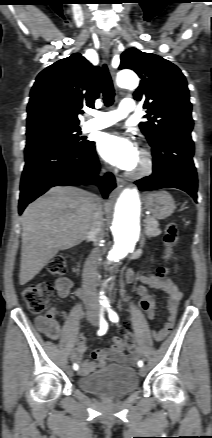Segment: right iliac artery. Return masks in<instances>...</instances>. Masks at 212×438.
<instances>
[{"label": "right iliac artery", "instance_id": "1", "mask_svg": "<svg viewBox=\"0 0 212 438\" xmlns=\"http://www.w3.org/2000/svg\"><path fill=\"white\" fill-rule=\"evenodd\" d=\"M108 329V324L103 318V314H100V329L98 330V335H104ZM73 369L78 370L79 366L77 364H73Z\"/></svg>", "mask_w": 212, "mask_h": 438}]
</instances>
